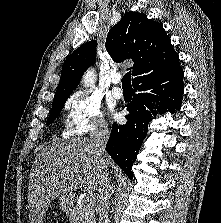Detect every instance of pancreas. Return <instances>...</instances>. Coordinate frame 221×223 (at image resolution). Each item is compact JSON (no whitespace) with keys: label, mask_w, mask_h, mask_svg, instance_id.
<instances>
[{"label":"pancreas","mask_w":221,"mask_h":223,"mask_svg":"<svg viewBox=\"0 0 221 223\" xmlns=\"http://www.w3.org/2000/svg\"><path fill=\"white\" fill-rule=\"evenodd\" d=\"M71 223H96L94 204L88 205L85 200L70 213Z\"/></svg>","instance_id":"1"}]
</instances>
